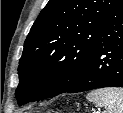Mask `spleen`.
I'll return each instance as SVG.
<instances>
[{
    "instance_id": "3e777b00",
    "label": "spleen",
    "mask_w": 123,
    "mask_h": 113,
    "mask_svg": "<svg viewBox=\"0 0 123 113\" xmlns=\"http://www.w3.org/2000/svg\"><path fill=\"white\" fill-rule=\"evenodd\" d=\"M96 106L107 107L108 113H123V88L96 89L87 95Z\"/></svg>"
}]
</instances>
